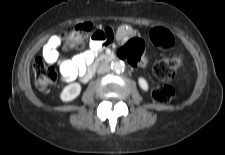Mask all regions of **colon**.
Masks as SVG:
<instances>
[{
  "label": "colon",
  "instance_id": "5ec220e1",
  "mask_svg": "<svg viewBox=\"0 0 225 155\" xmlns=\"http://www.w3.org/2000/svg\"><path fill=\"white\" fill-rule=\"evenodd\" d=\"M93 26L89 22L81 23L62 34L63 46L68 50H81L85 39L92 32ZM152 44L161 47H170L174 43L171 32L162 27H156L149 33ZM145 44L141 37L136 36L116 51L118 60H127L130 66H137L143 59ZM185 67L184 55L177 52L170 58L157 61L153 66L155 77L164 84L154 87L151 91L152 99L161 104L168 103L174 97L175 91L168 82L172 81ZM33 72L37 87L47 91L55 84L58 78L56 69L42 58H37L33 63Z\"/></svg>",
  "mask_w": 225,
  "mask_h": 155
}]
</instances>
